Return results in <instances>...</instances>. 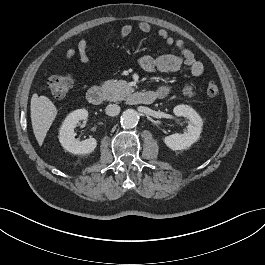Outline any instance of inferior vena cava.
<instances>
[{
  "mask_svg": "<svg viewBox=\"0 0 265 265\" xmlns=\"http://www.w3.org/2000/svg\"><path fill=\"white\" fill-rule=\"evenodd\" d=\"M105 112L109 116H116L120 113V106L117 104H110L106 107Z\"/></svg>",
  "mask_w": 265,
  "mask_h": 265,
  "instance_id": "602c4592",
  "label": "inferior vena cava"
}]
</instances>
